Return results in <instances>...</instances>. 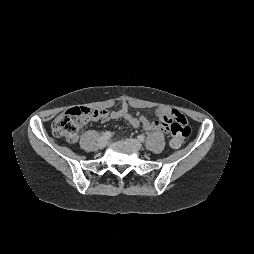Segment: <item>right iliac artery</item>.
I'll return each mask as SVG.
<instances>
[{
    "mask_svg": "<svg viewBox=\"0 0 254 254\" xmlns=\"http://www.w3.org/2000/svg\"><path fill=\"white\" fill-rule=\"evenodd\" d=\"M103 135H104V137L107 138V139L110 138V137L112 136L111 132H109V131H106Z\"/></svg>",
    "mask_w": 254,
    "mask_h": 254,
    "instance_id": "right-iliac-artery-1",
    "label": "right iliac artery"
}]
</instances>
